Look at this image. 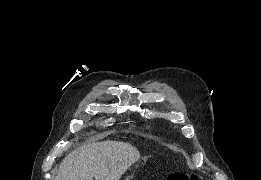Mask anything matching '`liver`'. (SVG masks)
<instances>
[{
  "label": "liver",
  "mask_w": 261,
  "mask_h": 180,
  "mask_svg": "<svg viewBox=\"0 0 261 180\" xmlns=\"http://www.w3.org/2000/svg\"><path fill=\"white\" fill-rule=\"evenodd\" d=\"M139 158L137 148L125 142L87 144L62 160L55 180H120Z\"/></svg>",
  "instance_id": "1"
}]
</instances>
